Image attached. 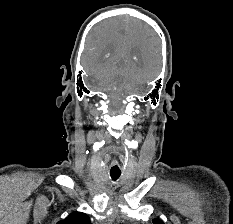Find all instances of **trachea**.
Returning a JSON list of instances; mask_svg holds the SVG:
<instances>
[{
	"label": "trachea",
	"mask_w": 233,
	"mask_h": 224,
	"mask_svg": "<svg viewBox=\"0 0 233 224\" xmlns=\"http://www.w3.org/2000/svg\"><path fill=\"white\" fill-rule=\"evenodd\" d=\"M121 175V172H110L112 180L116 181Z\"/></svg>",
	"instance_id": "obj_1"
}]
</instances>
